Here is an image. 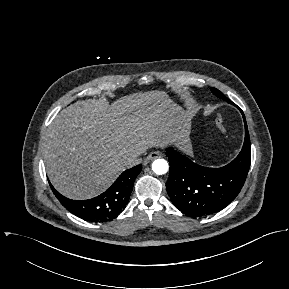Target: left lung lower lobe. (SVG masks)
<instances>
[{
    "label": "left lung lower lobe",
    "mask_w": 289,
    "mask_h": 289,
    "mask_svg": "<svg viewBox=\"0 0 289 289\" xmlns=\"http://www.w3.org/2000/svg\"><path fill=\"white\" fill-rule=\"evenodd\" d=\"M245 141L239 155L221 168H206L168 148L169 179L166 189L173 204L188 216L215 213L232 202L242 189L251 161L246 120Z\"/></svg>",
    "instance_id": "1"
}]
</instances>
